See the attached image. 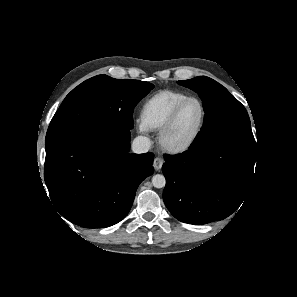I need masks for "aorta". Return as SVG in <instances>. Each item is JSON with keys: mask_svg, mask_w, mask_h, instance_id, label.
<instances>
[{"mask_svg": "<svg viewBox=\"0 0 297 297\" xmlns=\"http://www.w3.org/2000/svg\"><path fill=\"white\" fill-rule=\"evenodd\" d=\"M152 184L156 188H163L166 184V179L162 174H156L152 177Z\"/></svg>", "mask_w": 297, "mask_h": 297, "instance_id": "aorta-1", "label": "aorta"}]
</instances>
